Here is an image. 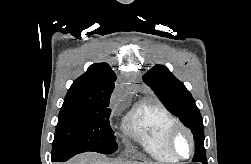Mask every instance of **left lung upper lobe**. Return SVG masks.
<instances>
[{
  "label": "left lung upper lobe",
  "instance_id": "1",
  "mask_svg": "<svg viewBox=\"0 0 251 164\" xmlns=\"http://www.w3.org/2000/svg\"><path fill=\"white\" fill-rule=\"evenodd\" d=\"M143 80L166 105L169 112L181 118L192 131L195 138L193 162L207 164L202 117L184 84L162 65L150 69L143 76Z\"/></svg>",
  "mask_w": 251,
  "mask_h": 164
}]
</instances>
